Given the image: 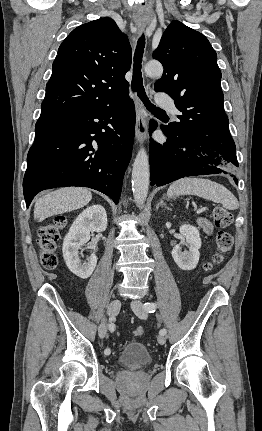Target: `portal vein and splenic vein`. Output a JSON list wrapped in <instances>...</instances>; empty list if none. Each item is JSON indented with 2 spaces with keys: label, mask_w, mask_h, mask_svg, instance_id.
<instances>
[{
  "label": "portal vein and splenic vein",
  "mask_w": 262,
  "mask_h": 431,
  "mask_svg": "<svg viewBox=\"0 0 262 431\" xmlns=\"http://www.w3.org/2000/svg\"><path fill=\"white\" fill-rule=\"evenodd\" d=\"M201 212H202V209L197 210V213H201Z\"/></svg>",
  "instance_id": "obj_1"
}]
</instances>
